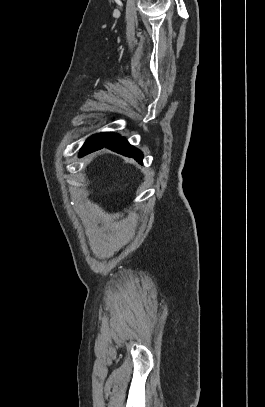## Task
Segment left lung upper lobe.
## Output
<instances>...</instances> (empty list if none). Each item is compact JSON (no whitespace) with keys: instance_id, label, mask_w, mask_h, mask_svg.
<instances>
[{"instance_id":"obj_1","label":"left lung upper lobe","mask_w":265,"mask_h":407,"mask_svg":"<svg viewBox=\"0 0 265 407\" xmlns=\"http://www.w3.org/2000/svg\"><path fill=\"white\" fill-rule=\"evenodd\" d=\"M116 136H118V134L110 133V132L98 133L96 135H93L89 139L86 140V142L84 143L80 152H85L86 150H88L89 148H91L93 146H96V145H99L102 143H106Z\"/></svg>"}]
</instances>
